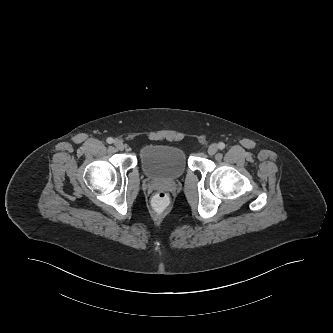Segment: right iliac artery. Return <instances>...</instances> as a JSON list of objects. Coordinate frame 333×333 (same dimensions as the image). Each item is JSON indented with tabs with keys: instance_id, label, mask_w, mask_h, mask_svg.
<instances>
[{
	"instance_id": "obj_1",
	"label": "right iliac artery",
	"mask_w": 333,
	"mask_h": 333,
	"mask_svg": "<svg viewBox=\"0 0 333 333\" xmlns=\"http://www.w3.org/2000/svg\"><path fill=\"white\" fill-rule=\"evenodd\" d=\"M113 141H114L113 138H111V137L107 138V143L112 144Z\"/></svg>"
}]
</instances>
